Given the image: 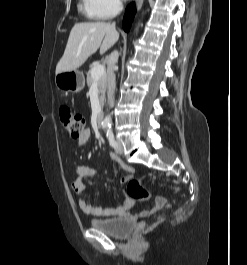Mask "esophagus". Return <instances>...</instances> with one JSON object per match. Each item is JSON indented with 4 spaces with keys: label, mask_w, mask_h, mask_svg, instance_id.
Returning <instances> with one entry per match:
<instances>
[{
    "label": "esophagus",
    "mask_w": 247,
    "mask_h": 265,
    "mask_svg": "<svg viewBox=\"0 0 247 265\" xmlns=\"http://www.w3.org/2000/svg\"><path fill=\"white\" fill-rule=\"evenodd\" d=\"M143 0H137V5L140 6L142 4Z\"/></svg>",
    "instance_id": "obj_1"
}]
</instances>
